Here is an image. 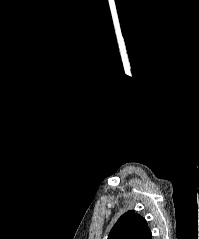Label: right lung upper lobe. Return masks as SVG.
Masks as SVG:
<instances>
[{
    "mask_svg": "<svg viewBox=\"0 0 199 239\" xmlns=\"http://www.w3.org/2000/svg\"><path fill=\"white\" fill-rule=\"evenodd\" d=\"M149 233L146 220L134 211H128L113 226L108 239H145Z\"/></svg>",
    "mask_w": 199,
    "mask_h": 239,
    "instance_id": "cb5924a9",
    "label": "right lung upper lobe"
}]
</instances>
